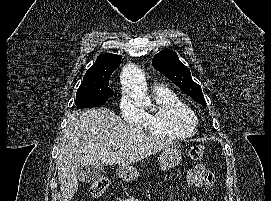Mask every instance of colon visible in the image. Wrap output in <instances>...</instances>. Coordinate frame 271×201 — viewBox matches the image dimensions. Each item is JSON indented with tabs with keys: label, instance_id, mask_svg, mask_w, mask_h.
<instances>
[{
	"label": "colon",
	"instance_id": "1",
	"mask_svg": "<svg viewBox=\"0 0 271 201\" xmlns=\"http://www.w3.org/2000/svg\"><path fill=\"white\" fill-rule=\"evenodd\" d=\"M205 156V147L202 145H195L189 149V157L192 160H199ZM109 186V182L106 178H101L95 181L90 188L92 197L99 198L102 196Z\"/></svg>",
	"mask_w": 271,
	"mask_h": 201
}]
</instances>
